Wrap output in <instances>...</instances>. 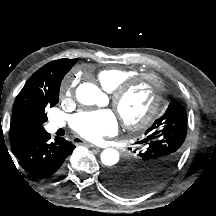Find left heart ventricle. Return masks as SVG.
Segmentation results:
<instances>
[{
  "mask_svg": "<svg viewBox=\"0 0 216 216\" xmlns=\"http://www.w3.org/2000/svg\"><path fill=\"white\" fill-rule=\"evenodd\" d=\"M154 95L152 84L144 80L131 89L122 99L120 111L127 119H137L147 111Z\"/></svg>",
  "mask_w": 216,
  "mask_h": 216,
  "instance_id": "obj_1",
  "label": "left heart ventricle"
}]
</instances>
